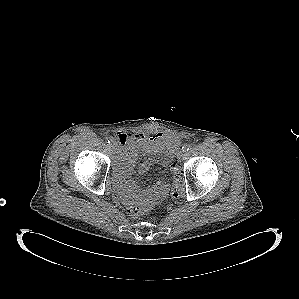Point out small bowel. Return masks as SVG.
I'll list each match as a JSON object with an SVG mask.
<instances>
[{
    "label": "small bowel",
    "mask_w": 299,
    "mask_h": 299,
    "mask_svg": "<svg viewBox=\"0 0 299 299\" xmlns=\"http://www.w3.org/2000/svg\"><path fill=\"white\" fill-rule=\"evenodd\" d=\"M117 138L122 144L117 163V182L126 198H132L136 185L129 179L135 160L139 152L146 156L162 155L159 158H149L145 160L138 168L140 174H144L154 164H160L164 167L170 165L174 154L179 146L180 139L174 135L157 133L150 134H129L118 132ZM168 183L158 181L152 188L143 194L147 200H157L166 195Z\"/></svg>",
    "instance_id": "obj_1"
}]
</instances>
